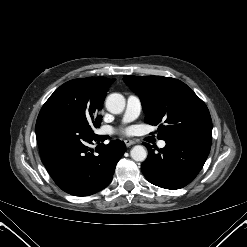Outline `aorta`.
Instances as JSON below:
<instances>
[{
	"mask_svg": "<svg viewBox=\"0 0 247 247\" xmlns=\"http://www.w3.org/2000/svg\"><path fill=\"white\" fill-rule=\"evenodd\" d=\"M125 98L119 93H112L106 99V109L112 114H120L125 108ZM130 155L133 160L143 162L147 158V151L141 145L134 146Z\"/></svg>",
	"mask_w": 247,
	"mask_h": 247,
	"instance_id": "762f6f07",
	"label": "aorta"
}]
</instances>
